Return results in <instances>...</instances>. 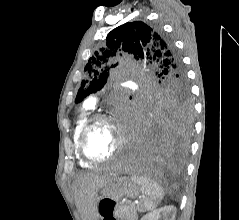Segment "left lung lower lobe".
Wrapping results in <instances>:
<instances>
[{"label":"left lung lower lobe","mask_w":239,"mask_h":220,"mask_svg":"<svg viewBox=\"0 0 239 220\" xmlns=\"http://www.w3.org/2000/svg\"><path fill=\"white\" fill-rule=\"evenodd\" d=\"M135 117L137 140L128 162L151 171L184 162L191 124L181 122L173 112L138 110Z\"/></svg>","instance_id":"left-lung-lower-lobe-1"}]
</instances>
